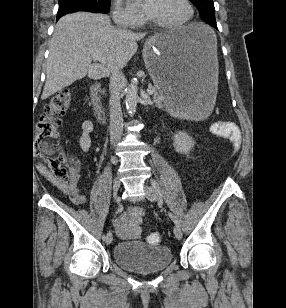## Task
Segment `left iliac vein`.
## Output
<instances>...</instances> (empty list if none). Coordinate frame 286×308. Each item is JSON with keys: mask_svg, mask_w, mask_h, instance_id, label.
Instances as JSON below:
<instances>
[{"mask_svg": "<svg viewBox=\"0 0 286 308\" xmlns=\"http://www.w3.org/2000/svg\"><path fill=\"white\" fill-rule=\"evenodd\" d=\"M144 192L148 200L155 202L159 201L158 195L156 194L155 190L148 184L144 185ZM174 235L178 240L182 238V231L179 225L175 224L174 226Z\"/></svg>", "mask_w": 286, "mask_h": 308, "instance_id": "left-iliac-vein-1", "label": "left iliac vein"}]
</instances>
